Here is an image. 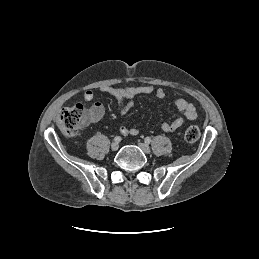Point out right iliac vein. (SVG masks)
<instances>
[{"instance_id":"right-iliac-vein-1","label":"right iliac vein","mask_w":259,"mask_h":259,"mask_svg":"<svg viewBox=\"0 0 259 259\" xmlns=\"http://www.w3.org/2000/svg\"><path fill=\"white\" fill-rule=\"evenodd\" d=\"M118 148H119V144H118L117 142H113V143L111 144V149H112L113 151L118 150Z\"/></svg>"}]
</instances>
